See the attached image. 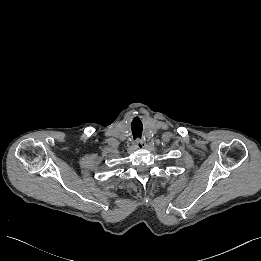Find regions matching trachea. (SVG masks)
<instances>
[{
	"instance_id": "1",
	"label": "trachea",
	"mask_w": 261,
	"mask_h": 261,
	"mask_svg": "<svg viewBox=\"0 0 261 261\" xmlns=\"http://www.w3.org/2000/svg\"><path fill=\"white\" fill-rule=\"evenodd\" d=\"M142 128H143L142 123L138 119H135L132 122V135L134 138L141 137ZM138 140H141V139H138Z\"/></svg>"
}]
</instances>
